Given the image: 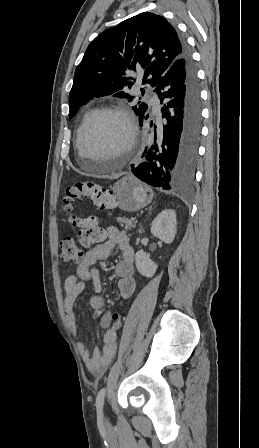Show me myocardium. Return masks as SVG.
I'll use <instances>...</instances> for the list:
<instances>
[{
    "instance_id": "myocardium-1",
    "label": "myocardium",
    "mask_w": 259,
    "mask_h": 448,
    "mask_svg": "<svg viewBox=\"0 0 259 448\" xmlns=\"http://www.w3.org/2000/svg\"><path fill=\"white\" fill-rule=\"evenodd\" d=\"M106 114H117L123 118L127 126V138L126 140L116 148V152L118 156L129 153L136 141L137 135V127L135 119L131 113V111L122 104H111L107 106H103L97 110H95L81 125L78 136H77V150L75 153V163L81 162L82 150L85 149L84 146V136L88 129V127Z\"/></svg>"
}]
</instances>
